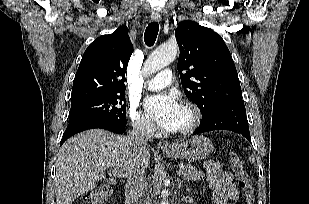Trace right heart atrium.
I'll list each match as a JSON object with an SVG mask.
<instances>
[{
    "mask_svg": "<svg viewBox=\"0 0 309 204\" xmlns=\"http://www.w3.org/2000/svg\"><path fill=\"white\" fill-rule=\"evenodd\" d=\"M130 119L135 130L146 136H151L155 131L152 121L142 113L136 104L130 107Z\"/></svg>",
    "mask_w": 309,
    "mask_h": 204,
    "instance_id": "d8ad5b80",
    "label": "right heart atrium"
}]
</instances>
